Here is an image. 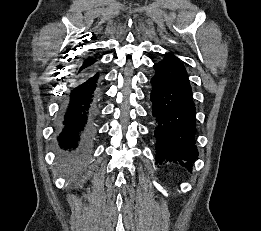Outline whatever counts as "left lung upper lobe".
Listing matches in <instances>:
<instances>
[{
    "label": "left lung upper lobe",
    "mask_w": 261,
    "mask_h": 231,
    "mask_svg": "<svg viewBox=\"0 0 261 231\" xmlns=\"http://www.w3.org/2000/svg\"><path fill=\"white\" fill-rule=\"evenodd\" d=\"M167 56L171 57L173 60H175L177 63H179L180 65L183 66V64L179 61V59H177L176 57H174L173 55L171 54H166ZM184 67V66H183Z\"/></svg>",
    "instance_id": "5c2ea615"
}]
</instances>
